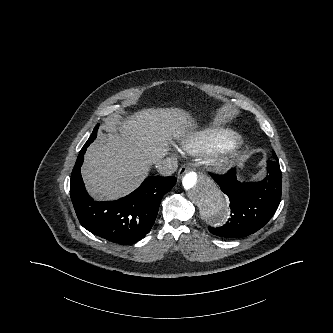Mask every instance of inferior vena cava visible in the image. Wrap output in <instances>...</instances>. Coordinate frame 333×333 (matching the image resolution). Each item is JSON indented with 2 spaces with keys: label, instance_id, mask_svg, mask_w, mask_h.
<instances>
[{
  "label": "inferior vena cava",
  "instance_id": "602c4592",
  "mask_svg": "<svg viewBox=\"0 0 333 333\" xmlns=\"http://www.w3.org/2000/svg\"><path fill=\"white\" fill-rule=\"evenodd\" d=\"M156 168L162 176H170L178 167L177 160L174 158H166L156 163Z\"/></svg>",
  "mask_w": 333,
  "mask_h": 333
}]
</instances>
